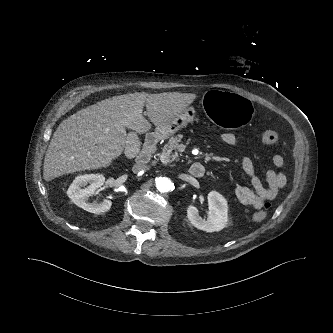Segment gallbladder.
Here are the masks:
<instances>
[{"instance_id":"1","label":"gallbladder","mask_w":333,"mask_h":333,"mask_svg":"<svg viewBox=\"0 0 333 333\" xmlns=\"http://www.w3.org/2000/svg\"><path fill=\"white\" fill-rule=\"evenodd\" d=\"M139 144H140V142H139V139L137 138L136 134L131 133L129 135L128 146H133V145L139 146Z\"/></svg>"}]
</instances>
